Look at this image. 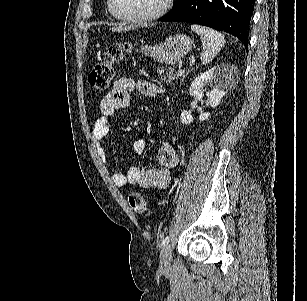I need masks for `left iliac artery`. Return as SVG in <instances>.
Segmentation results:
<instances>
[{
    "instance_id": "left-iliac-artery-1",
    "label": "left iliac artery",
    "mask_w": 307,
    "mask_h": 301,
    "mask_svg": "<svg viewBox=\"0 0 307 301\" xmlns=\"http://www.w3.org/2000/svg\"><path fill=\"white\" fill-rule=\"evenodd\" d=\"M170 237L166 236L165 238H163L162 242H161V246L165 247L168 243H169Z\"/></svg>"
}]
</instances>
